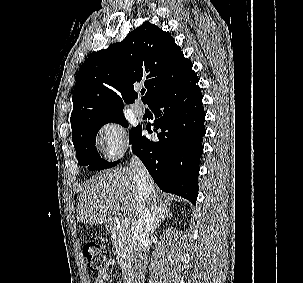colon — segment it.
<instances>
[{
  "label": "colon",
  "instance_id": "obj_1",
  "mask_svg": "<svg viewBox=\"0 0 303 283\" xmlns=\"http://www.w3.org/2000/svg\"><path fill=\"white\" fill-rule=\"evenodd\" d=\"M83 253L89 269L93 272H100L110 256L111 249L106 244L88 241L83 246Z\"/></svg>",
  "mask_w": 303,
  "mask_h": 283
}]
</instances>
